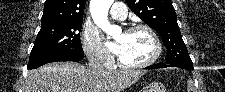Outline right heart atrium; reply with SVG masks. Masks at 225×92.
Listing matches in <instances>:
<instances>
[{
  "label": "right heart atrium",
  "instance_id": "1",
  "mask_svg": "<svg viewBox=\"0 0 225 92\" xmlns=\"http://www.w3.org/2000/svg\"><path fill=\"white\" fill-rule=\"evenodd\" d=\"M81 40L83 49L90 60L101 66H106L110 63V57L95 27L84 26L81 33Z\"/></svg>",
  "mask_w": 225,
  "mask_h": 92
}]
</instances>
